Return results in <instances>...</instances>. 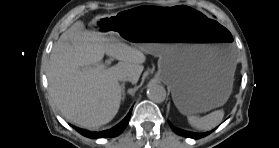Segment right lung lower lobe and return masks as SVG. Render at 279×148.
Returning <instances> with one entry per match:
<instances>
[{
  "label": "right lung lower lobe",
  "instance_id": "1",
  "mask_svg": "<svg viewBox=\"0 0 279 148\" xmlns=\"http://www.w3.org/2000/svg\"><path fill=\"white\" fill-rule=\"evenodd\" d=\"M131 111L128 113V115L115 127L101 131V132H89L87 130H82L79 128L74 127L78 132H80L82 135L88 137V138H103V137H116L118 136L127 126L130 116H131Z\"/></svg>",
  "mask_w": 279,
  "mask_h": 148
}]
</instances>
